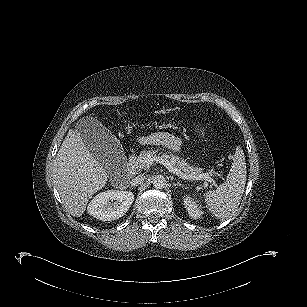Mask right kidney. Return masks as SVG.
Masks as SVG:
<instances>
[{"mask_svg":"<svg viewBox=\"0 0 307 307\" xmlns=\"http://www.w3.org/2000/svg\"><path fill=\"white\" fill-rule=\"evenodd\" d=\"M112 201V203H111ZM134 194L131 191L107 190L96 195L88 204V213L102 221L122 217L131 207Z\"/></svg>","mask_w":307,"mask_h":307,"instance_id":"right-kidney-1","label":"right kidney"}]
</instances>
